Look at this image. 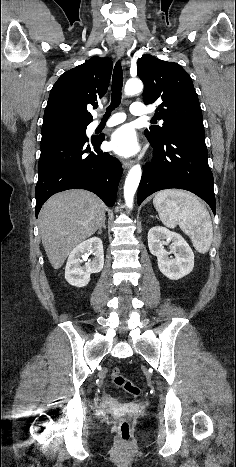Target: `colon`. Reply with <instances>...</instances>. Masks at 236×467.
Returning <instances> with one entry per match:
<instances>
[{"mask_svg":"<svg viewBox=\"0 0 236 467\" xmlns=\"http://www.w3.org/2000/svg\"><path fill=\"white\" fill-rule=\"evenodd\" d=\"M113 383L133 396H139L141 389L134 385L129 379L124 377L118 367L113 368L111 372ZM118 434L123 444H129L132 440V430L129 422L123 420L118 424Z\"/></svg>","mask_w":236,"mask_h":467,"instance_id":"5ec220e1","label":"colon"}]
</instances>
